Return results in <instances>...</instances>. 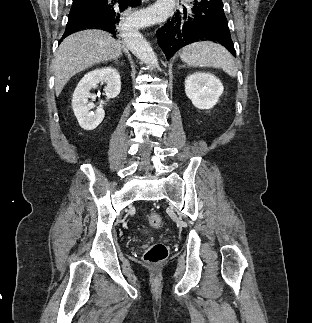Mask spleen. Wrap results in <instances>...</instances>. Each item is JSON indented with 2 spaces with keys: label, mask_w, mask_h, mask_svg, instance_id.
I'll return each instance as SVG.
<instances>
[{
  "label": "spleen",
  "mask_w": 312,
  "mask_h": 323,
  "mask_svg": "<svg viewBox=\"0 0 312 323\" xmlns=\"http://www.w3.org/2000/svg\"><path fill=\"white\" fill-rule=\"evenodd\" d=\"M182 62L192 68H222L229 76H236L237 70L231 54L226 48L214 42H195L182 48L180 54Z\"/></svg>",
  "instance_id": "spleen-1"
}]
</instances>
